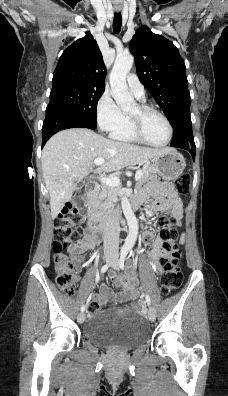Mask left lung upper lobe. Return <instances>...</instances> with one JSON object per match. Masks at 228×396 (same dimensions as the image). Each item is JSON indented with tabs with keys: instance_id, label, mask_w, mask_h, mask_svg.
<instances>
[{
	"instance_id": "obj_1",
	"label": "left lung upper lobe",
	"mask_w": 228,
	"mask_h": 396,
	"mask_svg": "<svg viewBox=\"0 0 228 396\" xmlns=\"http://www.w3.org/2000/svg\"><path fill=\"white\" fill-rule=\"evenodd\" d=\"M139 80L152 94L173 125L181 112L190 110L185 63L176 46L143 25L130 41Z\"/></svg>"
}]
</instances>
